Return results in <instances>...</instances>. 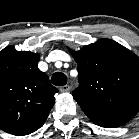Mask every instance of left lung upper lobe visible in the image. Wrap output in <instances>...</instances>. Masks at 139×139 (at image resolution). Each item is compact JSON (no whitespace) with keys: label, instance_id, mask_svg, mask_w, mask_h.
I'll list each match as a JSON object with an SVG mask.
<instances>
[{"label":"left lung upper lobe","instance_id":"1","mask_svg":"<svg viewBox=\"0 0 139 139\" xmlns=\"http://www.w3.org/2000/svg\"><path fill=\"white\" fill-rule=\"evenodd\" d=\"M79 87L72 95L84 112L139 110V57L119 43L101 39L72 51Z\"/></svg>","mask_w":139,"mask_h":139}]
</instances>
